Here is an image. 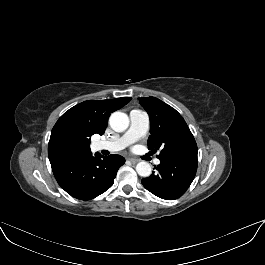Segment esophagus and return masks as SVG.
<instances>
[{
	"label": "esophagus",
	"instance_id": "esophagus-1",
	"mask_svg": "<svg viewBox=\"0 0 265 265\" xmlns=\"http://www.w3.org/2000/svg\"><path fill=\"white\" fill-rule=\"evenodd\" d=\"M129 161L132 162L133 164L138 163V160L137 159H134V158H129Z\"/></svg>",
	"mask_w": 265,
	"mask_h": 265
}]
</instances>
